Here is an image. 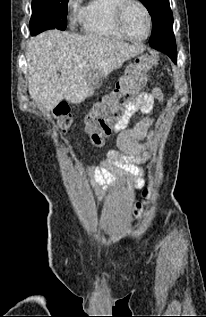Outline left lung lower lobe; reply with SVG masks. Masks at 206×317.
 <instances>
[{"label": "left lung lower lobe", "mask_w": 206, "mask_h": 317, "mask_svg": "<svg viewBox=\"0 0 206 317\" xmlns=\"http://www.w3.org/2000/svg\"><path fill=\"white\" fill-rule=\"evenodd\" d=\"M156 50H159L161 52L166 53L174 63H176L177 60V51H176V45L173 43H167V44H153L150 45Z\"/></svg>", "instance_id": "1"}]
</instances>
